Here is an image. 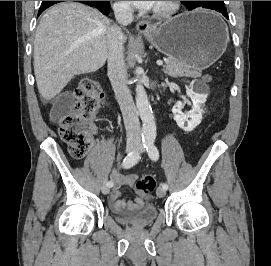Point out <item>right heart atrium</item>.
I'll return each instance as SVG.
<instances>
[{"mask_svg": "<svg viewBox=\"0 0 271 266\" xmlns=\"http://www.w3.org/2000/svg\"><path fill=\"white\" fill-rule=\"evenodd\" d=\"M114 8L120 14L127 15L130 12L129 5L127 4L126 1H117L114 4Z\"/></svg>", "mask_w": 271, "mask_h": 266, "instance_id": "obj_1", "label": "right heart atrium"}]
</instances>
